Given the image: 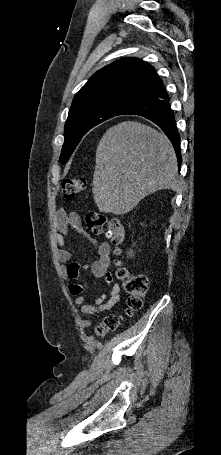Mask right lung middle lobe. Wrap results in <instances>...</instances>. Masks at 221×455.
Instances as JSON below:
<instances>
[{
    "mask_svg": "<svg viewBox=\"0 0 221 455\" xmlns=\"http://www.w3.org/2000/svg\"><path fill=\"white\" fill-rule=\"evenodd\" d=\"M124 109L113 103H92L79 106L71 111L65 124V141L60 161L64 163L73 153L81 138L99 123L120 115Z\"/></svg>",
    "mask_w": 221,
    "mask_h": 455,
    "instance_id": "dd1d6c3e",
    "label": "right lung middle lobe"
}]
</instances>
